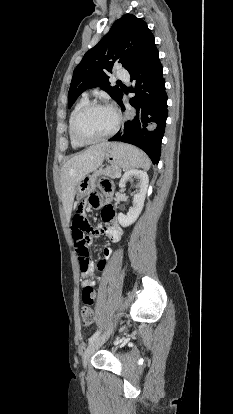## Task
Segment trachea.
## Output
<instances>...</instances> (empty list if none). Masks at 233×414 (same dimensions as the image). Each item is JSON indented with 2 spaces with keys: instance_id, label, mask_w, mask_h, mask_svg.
<instances>
[{
  "instance_id": "obj_1",
  "label": "trachea",
  "mask_w": 233,
  "mask_h": 414,
  "mask_svg": "<svg viewBox=\"0 0 233 414\" xmlns=\"http://www.w3.org/2000/svg\"><path fill=\"white\" fill-rule=\"evenodd\" d=\"M117 83H120L121 84L122 82L120 80H118Z\"/></svg>"
}]
</instances>
